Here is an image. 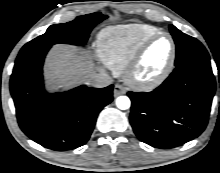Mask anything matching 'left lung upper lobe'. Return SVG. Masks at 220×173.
Returning <instances> with one entry per match:
<instances>
[{
	"mask_svg": "<svg viewBox=\"0 0 220 173\" xmlns=\"http://www.w3.org/2000/svg\"><path fill=\"white\" fill-rule=\"evenodd\" d=\"M170 32L176 43V67L193 62L210 61L207 50L197 39L182 33L173 25H170Z\"/></svg>",
	"mask_w": 220,
	"mask_h": 173,
	"instance_id": "1",
	"label": "left lung upper lobe"
}]
</instances>
